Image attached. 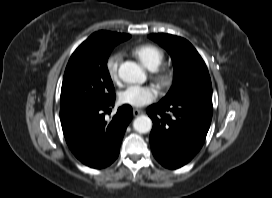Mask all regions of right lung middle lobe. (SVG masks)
<instances>
[{"mask_svg": "<svg viewBox=\"0 0 272 198\" xmlns=\"http://www.w3.org/2000/svg\"><path fill=\"white\" fill-rule=\"evenodd\" d=\"M105 41L66 67L61 88L60 109L86 104H103L115 98V90L107 69L108 57L119 42Z\"/></svg>", "mask_w": 272, "mask_h": 198, "instance_id": "right-lung-middle-lobe-1", "label": "right lung middle lobe"}]
</instances>
